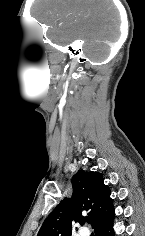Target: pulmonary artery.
Masks as SVG:
<instances>
[{"mask_svg":"<svg viewBox=\"0 0 145 236\" xmlns=\"http://www.w3.org/2000/svg\"><path fill=\"white\" fill-rule=\"evenodd\" d=\"M79 236H89V230L87 228H80Z\"/></svg>","mask_w":145,"mask_h":236,"instance_id":"e3ab8cb5","label":"pulmonary artery"}]
</instances>
